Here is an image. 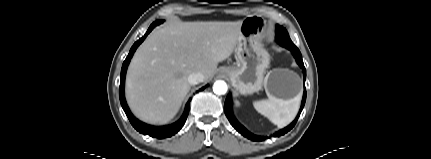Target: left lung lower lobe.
Listing matches in <instances>:
<instances>
[{
  "label": "left lung lower lobe",
  "mask_w": 431,
  "mask_h": 159,
  "mask_svg": "<svg viewBox=\"0 0 431 159\" xmlns=\"http://www.w3.org/2000/svg\"><path fill=\"white\" fill-rule=\"evenodd\" d=\"M288 49L292 51L294 57L296 58L297 63L302 68V70H303V76H304V82H305V79H306V70H305L304 63H303V60H302V55H301L299 49L298 48H288ZM305 100H306V90H304L303 99H302V105H301L300 111H299L296 119L289 126L285 127L284 129H281L280 131H278L275 134H273L274 137H279L281 135H284L285 133H287L288 131H290L294 127V125L296 124V122L298 120V117H299V115H300V113H301V111H302V109L304 107ZM224 111H225V114H226L228 120L230 121L231 125L239 133H241L244 137H246V138H248V139H250L252 141H263V140L266 139V137H261V136H257V135H254V134L250 133L248 130H246L235 119V117L233 116V113H232L231 95L230 94L227 95V98L225 100Z\"/></svg>",
  "instance_id": "left-lung-lower-lobe-1"
}]
</instances>
